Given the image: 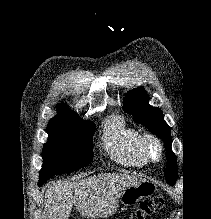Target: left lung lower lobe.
Here are the masks:
<instances>
[{
    "label": "left lung lower lobe",
    "instance_id": "obj_1",
    "mask_svg": "<svg viewBox=\"0 0 211 219\" xmlns=\"http://www.w3.org/2000/svg\"><path fill=\"white\" fill-rule=\"evenodd\" d=\"M170 156L173 157L174 159H177L176 156H174L173 154H171Z\"/></svg>",
    "mask_w": 211,
    "mask_h": 219
}]
</instances>
